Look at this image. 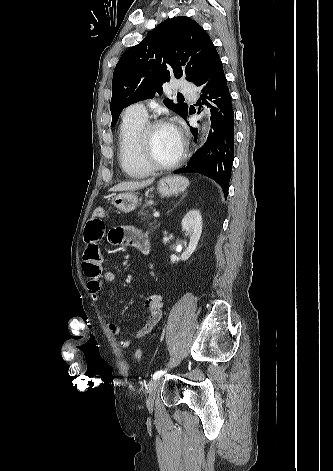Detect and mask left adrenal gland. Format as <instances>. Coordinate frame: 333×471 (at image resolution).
<instances>
[{"label": "left adrenal gland", "mask_w": 333, "mask_h": 471, "mask_svg": "<svg viewBox=\"0 0 333 471\" xmlns=\"http://www.w3.org/2000/svg\"><path fill=\"white\" fill-rule=\"evenodd\" d=\"M187 193H184L180 199V201L178 202V204L186 197Z\"/></svg>", "instance_id": "obj_1"}]
</instances>
